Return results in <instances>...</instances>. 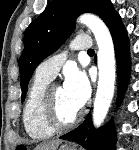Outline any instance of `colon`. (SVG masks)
<instances>
[{
  "label": "colon",
  "instance_id": "obj_1",
  "mask_svg": "<svg viewBox=\"0 0 139 150\" xmlns=\"http://www.w3.org/2000/svg\"><path fill=\"white\" fill-rule=\"evenodd\" d=\"M16 150H26L25 148H17Z\"/></svg>",
  "mask_w": 139,
  "mask_h": 150
}]
</instances>
